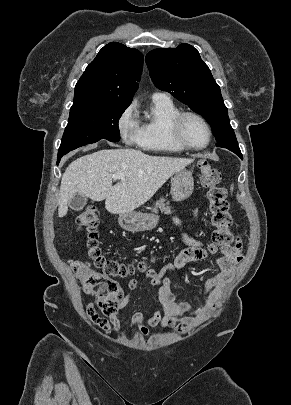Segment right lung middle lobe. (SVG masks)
Instances as JSON below:
<instances>
[{
    "instance_id": "right-lung-middle-lobe-1",
    "label": "right lung middle lobe",
    "mask_w": 291,
    "mask_h": 405,
    "mask_svg": "<svg viewBox=\"0 0 291 405\" xmlns=\"http://www.w3.org/2000/svg\"><path fill=\"white\" fill-rule=\"evenodd\" d=\"M127 107L110 102L73 105L58 151V162L68 152L100 139L118 142V120Z\"/></svg>"
}]
</instances>
